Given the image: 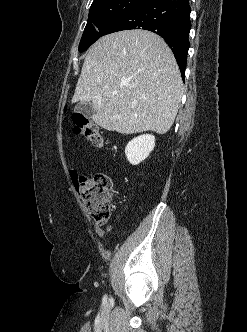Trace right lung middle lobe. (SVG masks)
<instances>
[{"label": "right lung middle lobe", "mask_w": 247, "mask_h": 332, "mask_svg": "<svg viewBox=\"0 0 247 332\" xmlns=\"http://www.w3.org/2000/svg\"><path fill=\"white\" fill-rule=\"evenodd\" d=\"M147 0H99L93 2L79 51L83 52L104 35L105 30L120 17Z\"/></svg>", "instance_id": "1"}]
</instances>
